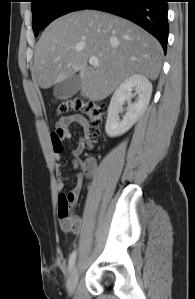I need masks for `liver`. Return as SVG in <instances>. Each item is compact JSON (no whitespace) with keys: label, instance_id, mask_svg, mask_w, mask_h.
I'll return each instance as SVG.
<instances>
[{"label":"liver","instance_id":"liver-1","mask_svg":"<svg viewBox=\"0 0 195 299\" xmlns=\"http://www.w3.org/2000/svg\"><path fill=\"white\" fill-rule=\"evenodd\" d=\"M162 55L157 39L138 25L101 11H76L54 20L41 34L32 80L48 89L79 72L81 94L100 101L132 75L157 79ZM90 57H97L99 66L88 65Z\"/></svg>","mask_w":195,"mask_h":299}]
</instances>
